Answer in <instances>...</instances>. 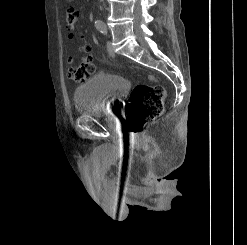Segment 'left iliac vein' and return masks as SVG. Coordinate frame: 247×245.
Instances as JSON below:
<instances>
[{
  "label": "left iliac vein",
  "mask_w": 247,
  "mask_h": 245,
  "mask_svg": "<svg viewBox=\"0 0 247 245\" xmlns=\"http://www.w3.org/2000/svg\"><path fill=\"white\" fill-rule=\"evenodd\" d=\"M107 51L112 57L115 56V51L110 41H107Z\"/></svg>",
  "instance_id": "4c4485c4"
}]
</instances>
